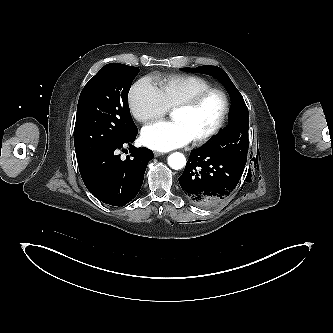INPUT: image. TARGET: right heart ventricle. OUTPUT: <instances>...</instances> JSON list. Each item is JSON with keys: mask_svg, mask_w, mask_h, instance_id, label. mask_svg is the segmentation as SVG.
I'll return each instance as SVG.
<instances>
[{"mask_svg": "<svg viewBox=\"0 0 333 333\" xmlns=\"http://www.w3.org/2000/svg\"><path fill=\"white\" fill-rule=\"evenodd\" d=\"M212 84L197 75H169L158 81V90L168 109H173L197 93L211 88Z\"/></svg>", "mask_w": 333, "mask_h": 333, "instance_id": "obj_1", "label": "right heart ventricle"}]
</instances>
